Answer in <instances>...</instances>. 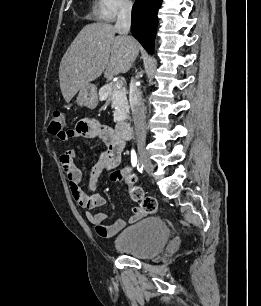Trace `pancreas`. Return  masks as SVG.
Here are the masks:
<instances>
[{"label": "pancreas", "mask_w": 261, "mask_h": 306, "mask_svg": "<svg viewBox=\"0 0 261 306\" xmlns=\"http://www.w3.org/2000/svg\"><path fill=\"white\" fill-rule=\"evenodd\" d=\"M127 91L124 87L117 88L114 83L102 86L99 90V98L111 103L114 111V121L121 122L128 118L129 105L127 101Z\"/></svg>", "instance_id": "pancreas-1"}]
</instances>
